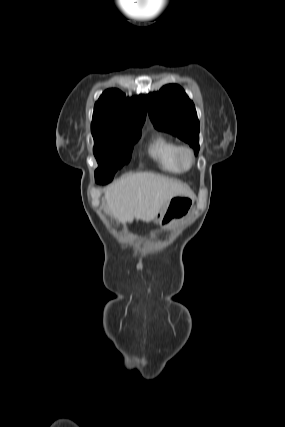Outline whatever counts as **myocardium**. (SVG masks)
Here are the masks:
<instances>
[{
	"instance_id": "f54148a6",
	"label": "myocardium",
	"mask_w": 285,
	"mask_h": 427,
	"mask_svg": "<svg viewBox=\"0 0 285 427\" xmlns=\"http://www.w3.org/2000/svg\"><path fill=\"white\" fill-rule=\"evenodd\" d=\"M187 157L189 162L185 164L184 158ZM176 161L182 171H189L195 164V155L193 150L186 145L178 147L176 152Z\"/></svg>"
}]
</instances>
